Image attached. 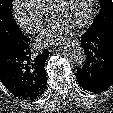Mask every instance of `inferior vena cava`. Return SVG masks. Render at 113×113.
I'll list each match as a JSON object with an SVG mask.
<instances>
[{
  "mask_svg": "<svg viewBox=\"0 0 113 113\" xmlns=\"http://www.w3.org/2000/svg\"><path fill=\"white\" fill-rule=\"evenodd\" d=\"M36 32V28H34L33 30H32V33H35Z\"/></svg>",
  "mask_w": 113,
  "mask_h": 113,
  "instance_id": "inferior-vena-cava-1",
  "label": "inferior vena cava"
}]
</instances>
